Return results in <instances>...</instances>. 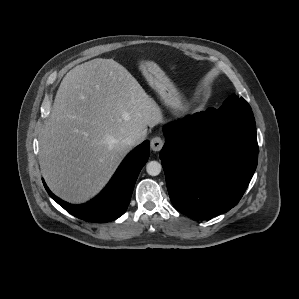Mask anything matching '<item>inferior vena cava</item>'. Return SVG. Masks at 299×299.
<instances>
[{
    "mask_svg": "<svg viewBox=\"0 0 299 299\" xmlns=\"http://www.w3.org/2000/svg\"><path fill=\"white\" fill-rule=\"evenodd\" d=\"M145 139V134H133L122 140V143L128 147H133Z\"/></svg>",
    "mask_w": 299,
    "mask_h": 299,
    "instance_id": "obj_1",
    "label": "inferior vena cava"
}]
</instances>
